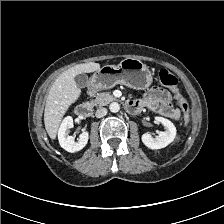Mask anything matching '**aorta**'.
I'll list each match as a JSON object with an SVG mask.
<instances>
[{"label": "aorta", "mask_w": 224, "mask_h": 224, "mask_svg": "<svg viewBox=\"0 0 224 224\" xmlns=\"http://www.w3.org/2000/svg\"><path fill=\"white\" fill-rule=\"evenodd\" d=\"M109 109L112 113H117L120 110V105L117 102L110 104Z\"/></svg>", "instance_id": "1"}]
</instances>
